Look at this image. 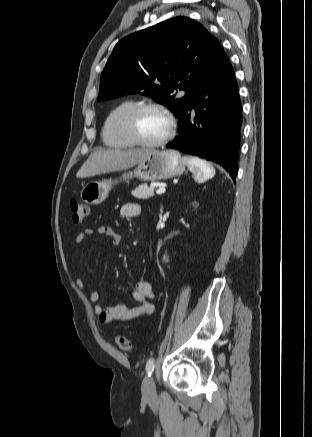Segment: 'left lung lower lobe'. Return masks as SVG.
I'll return each mask as SVG.
<instances>
[{
  "instance_id": "left-lung-lower-lobe-1",
  "label": "left lung lower lobe",
  "mask_w": 312,
  "mask_h": 437,
  "mask_svg": "<svg viewBox=\"0 0 312 437\" xmlns=\"http://www.w3.org/2000/svg\"><path fill=\"white\" fill-rule=\"evenodd\" d=\"M194 109L191 116L190 110ZM179 136L167 147L223 166L235 181L242 105L234 70L226 55L179 118Z\"/></svg>"
}]
</instances>
